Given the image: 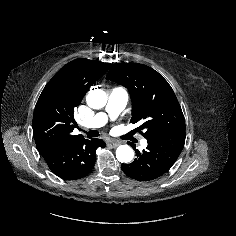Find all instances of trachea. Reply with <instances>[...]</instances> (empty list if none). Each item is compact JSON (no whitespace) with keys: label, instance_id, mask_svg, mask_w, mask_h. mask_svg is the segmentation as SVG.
Segmentation results:
<instances>
[{"label":"trachea","instance_id":"obj_1","mask_svg":"<svg viewBox=\"0 0 236 236\" xmlns=\"http://www.w3.org/2000/svg\"><path fill=\"white\" fill-rule=\"evenodd\" d=\"M86 132V131H84ZM86 134L88 135V137H98L99 136V132L97 130H90L88 132H86Z\"/></svg>","mask_w":236,"mask_h":236}]
</instances>
